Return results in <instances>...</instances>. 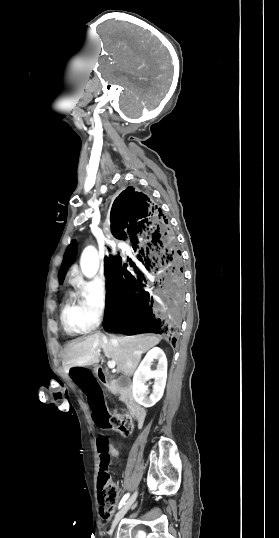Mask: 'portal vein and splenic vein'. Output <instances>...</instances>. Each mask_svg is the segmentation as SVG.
Here are the masks:
<instances>
[{"label":"portal vein and splenic vein","instance_id":"1","mask_svg":"<svg viewBox=\"0 0 279 538\" xmlns=\"http://www.w3.org/2000/svg\"><path fill=\"white\" fill-rule=\"evenodd\" d=\"M107 366H108V368H115L116 362H114V360H112V362L107 361Z\"/></svg>","mask_w":279,"mask_h":538}]
</instances>
